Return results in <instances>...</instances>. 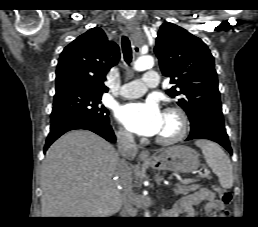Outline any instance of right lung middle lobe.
<instances>
[{
  "mask_svg": "<svg viewBox=\"0 0 258 227\" xmlns=\"http://www.w3.org/2000/svg\"><path fill=\"white\" fill-rule=\"evenodd\" d=\"M101 94L71 90L54 96L52 114L72 113L96 123L108 124V110L101 105Z\"/></svg>",
  "mask_w": 258,
  "mask_h": 227,
  "instance_id": "dd1d6c3e",
  "label": "right lung middle lobe"
}]
</instances>
